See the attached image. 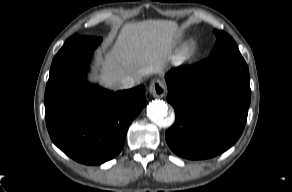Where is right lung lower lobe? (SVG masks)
Listing matches in <instances>:
<instances>
[{"label":"right lung lower lobe","instance_id":"98d812e1","mask_svg":"<svg viewBox=\"0 0 292 192\" xmlns=\"http://www.w3.org/2000/svg\"><path fill=\"white\" fill-rule=\"evenodd\" d=\"M100 37L66 40L53 59L45 90V118L53 143L77 162L99 165L122 150L130 123L146 105L143 85L111 91L86 81Z\"/></svg>","mask_w":292,"mask_h":192}]
</instances>
